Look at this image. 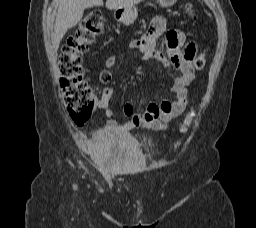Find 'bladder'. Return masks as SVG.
I'll return each mask as SVG.
<instances>
[{"label": "bladder", "mask_w": 256, "mask_h": 228, "mask_svg": "<svg viewBox=\"0 0 256 228\" xmlns=\"http://www.w3.org/2000/svg\"><path fill=\"white\" fill-rule=\"evenodd\" d=\"M146 142L151 148L155 145L152 138ZM93 150L102 165L113 162L121 170L142 167L146 160L137 141L126 134L103 133L96 137Z\"/></svg>", "instance_id": "obj_1"}]
</instances>
